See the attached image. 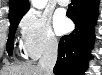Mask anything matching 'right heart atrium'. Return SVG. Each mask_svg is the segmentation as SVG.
<instances>
[{
  "mask_svg": "<svg viewBox=\"0 0 102 75\" xmlns=\"http://www.w3.org/2000/svg\"><path fill=\"white\" fill-rule=\"evenodd\" d=\"M19 33L23 51L30 60H36L46 52H53L58 46L49 18L36 11H29L22 17Z\"/></svg>",
  "mask_w": 102,
  "mask_h": 75,
  "instance_id": "right-heart-atrium-1",
  "label": "right heart atrium"
}]
</instances>
